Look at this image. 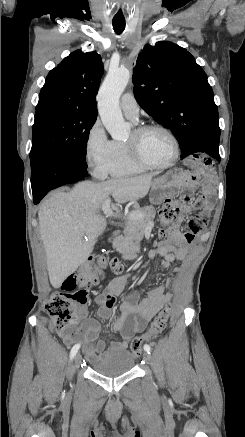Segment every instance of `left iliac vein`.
Here are the masks:
<instances>
[{
  "label": "left iliac vein",
  "instance_id": "obj_1",
  "mask_svg": "<svg viewBox=\"0 0 245 437\" xmlns=\"http://www.w3.org/2000/svg\"><path fill=\"white\" fill-rule=\"evenodd\" d=\"M143 359L145 360L146 363H151V356L147 352H144Z\"/></svg>",
  "mask_w": 245,
  "mask_h": 437
}]
</instances>
